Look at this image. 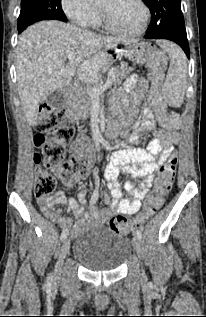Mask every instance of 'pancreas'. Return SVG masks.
I'll use <instances>...</instances> for the list:
<instances>
[{
  "label": "pancreas",
  "mask_w": 206,
  "mask_h": 317,
  "mask_svg": "<svg viewBox=\"0 0 206 317\" xmlns=\"http://www.w3.org/2000/svg\"><path fill=\"white\" fill-rule=\"evenodd\" d=\"M105 64V63H104ZM128 63L126 61H121L119 67L115 68L114 83L119 85L124 78L128 77L131 69L127 68ZM97 76V72H93ZM90 77L93 75H84ZM103 86V81L98 79V82H94L92 85H86L79 89L72 98L71 106L73 107V112L78 119H87L90 115L92 108V96L89 94V90L101 89ZM93 88V89H92Z\"/></svg>",
  "instance_id": "pancreas-1"
}]
</instances>
